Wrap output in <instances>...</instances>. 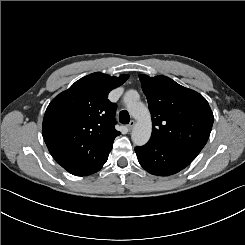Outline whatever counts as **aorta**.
<instances>
[{"label":"aorta","instance_id":"aorta-1","mask_svg":"<svg viewBox=\"0 0 245 245\" xmlns=\"http://www.w3.org/2000/svg\"><path fill=\"white\" fill-rule=\"evenodd\" d=\"M124 101L129 113L137 121L131 134L132 141L137 146L145 145L152 133V122L148 108L138 100L135 91H128L124 95Z\"/></svg>","mask_w":245,"mask_h":245}]
</instances>
